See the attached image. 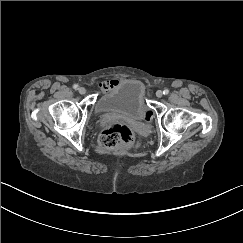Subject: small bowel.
<instances>
[{
	"mask_svg": "<svg viewBox=\"0 0 243 243\" xmlns=\"http://www.w3.org/2000/svg\"><path fill=\"white\" fill-rule=\"evenodd\" d=\"M118 83L119 81L117 80L106 81L100 84V88L103 89L104 91H109L112 88H114Z\"/></svg>",
	"mask_w": 243,
	"mask_h": 243,
	"instance_id": "c3829d8e",
	"label": "small bowel"
}]
</instances>
